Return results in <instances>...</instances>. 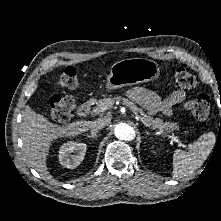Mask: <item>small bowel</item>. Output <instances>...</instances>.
Here are the masks:
<instances>
[{"instance_id":"c3829d8e","label":"small bowel","mask_w":221,"mask_h":221,"mask_svg":"<svg viewBox=\"0 0 221 221\" xmlns=\"http://www.w3.org/2000/svg\"><path fill=\"white\" fill-rule=\"evenodd\" d=\"M128 97L142 106L150 114L163 113L172 115V107L181 104L186 99L185 91L176 90L167 98L161 100L153 91L144 87H133L128 91Z\"/></svg>"}]
</instances>
